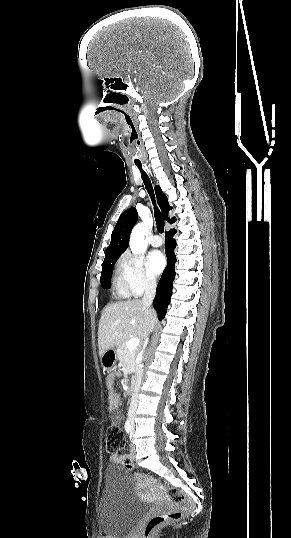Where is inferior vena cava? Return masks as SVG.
<instances>
[{"mask_svg":"<svg viewBox=\"0 0 291 538\" xmlns=\"http://www.w3.org/2000/svg\"><path fill=\"white\" fill-rule=\"evenodd\" d=\"M155 292H156V281L155 280H147L146 284H145V293H144V296H143V299H142V302H143L144 306L149 307V308L151 307L152 301H153L154 296H155ZM147 342H148V339H146L144 347L147 345ZM142 375H143L142 369L138 368L135 388H134V391H133L130 407H129V410H128V417H129V420L131 422H133V420H134L135 411H136L137 405H138V394H139V390H140V386H141Z\"/></svg>","mask_w":291,"mask_h":538,"instance_id":"obj_1","label":"inferior vena cava"}]
</instances>
